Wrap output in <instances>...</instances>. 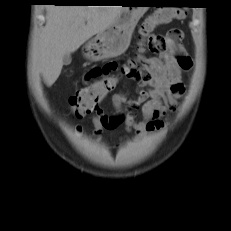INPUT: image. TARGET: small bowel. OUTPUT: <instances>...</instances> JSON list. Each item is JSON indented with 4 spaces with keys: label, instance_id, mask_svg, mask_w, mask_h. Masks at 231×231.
<instances>
[{
    "label": "small bowel",
    "instance_id": "obj_1",
    "mask_svg": "<svg viewBox=\"0 0 231 231\" xmlns=\"http://www.w3.org/2000/svg\"><path fill=\"white\" fill-rule=\"evenodd\" d=\"M166 49L157 56L140 59L141 78L137 79V95L132 98L125 93H117L112 102L114 115H107L97 109L92 116L94 133L116 129L124 124L127 130L136 133L150 132L163 125L162 118L174 110L177 101L184 94L182 72L192 67V60L182 46L183 33L172 30L165 37ZM123 64L110 61L103 66L94 67L86 80L109 77L118 73ZM142 114L143 120L137 122L136 116ZM80 132L81 127H77Z\"/></svg>",
    "mask_w": 231,
    "mask_h": 231
}]
</instances>
